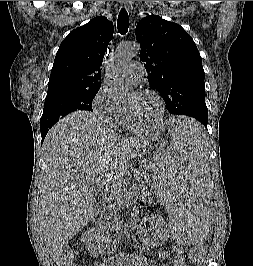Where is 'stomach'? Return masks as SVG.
Returning <instances> with one entry per match:
<instances>
[{
  "mask_svg": "<svg viewBox=\"0 0 253 266\" xmlns=\"http://www.w3.org/2000/svg\"><path fill=\"white\" fill-rule=\"evenodd\" d=\"M161 150H167L166 142L158 137L152 138L138 156L140 164L146 170L154 171V160H160Z\"/></svg>",
  "mask_w": 253,
  "mask_h": 266,
  "instance_id": "1",
  "label": "stomach"
}]
</instances>
